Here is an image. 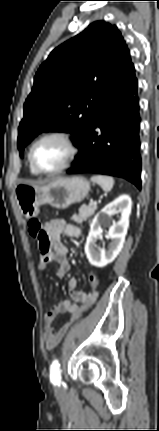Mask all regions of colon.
<instances>
[{"instance_id":"obj_1","label":"colon","mask_w":159,"mask_h":431,"mask_svg":"<svg viewBox=\"0 0 159 431\" xmlns=\"http://www.w3.org/2000/svg\"><path fill=\"white\" fill-rule=\"evenodd\" d=\"M28 231L29 234L33 237V238H39L42 237L44 234L43 231V225L42 223L36 219V218H32L29 220L28 222ZM87 283L90 284V286L88 287V300H93L96 299V296H93L95 291L99 288V282L97 279V275L94 272H91L88 274V278H87ZM88 300H85V303H88ZM80 310H76L75 311V316L79 317L80 315H84V312H92V307L90 305H80L79 306Z\"/></svg>"}]
</instances>
